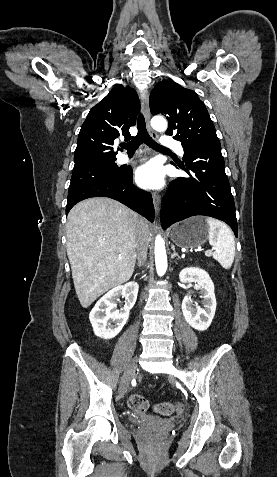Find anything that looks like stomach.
I'll return each mask as SVG.
<instances>
[{
  "instance_id": "obj_1",
  "label": "stomach",
  "mask_w": 277,
  "mask_h": 477,
  "mask_svg": "<svg viewBox=\"0 0 277 477\" xmlns=\"http://www.w3.org/2000/svg\"><path fill=\"white\" fill-rule=\"evenodd\" d=\"M209 236V226L203 216H194L175 224L170 231L172 242L181 248H196L203 245Z\"/></svg>"
}]
</instances>
